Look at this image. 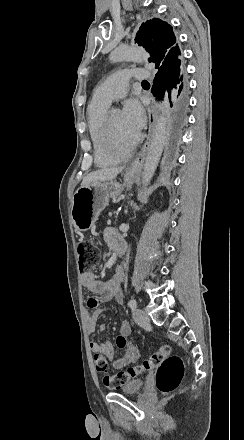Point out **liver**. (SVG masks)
<instances>
[{"label":"liver","instance_id":"1","mask_svg":"<svg viewBox=\"0 0 244 440\" xmlns=\"http://www.w3.org/2000/svg\"><path fill=\"white\" fill-rule=\"evenodd\" d=\"M123 168H101V170H96V172H91L88 176H85L81 182V186H89L91 182H110L114 180Z\"/></svg>","mask_w":244,"mask_h":440}]
</instances>
